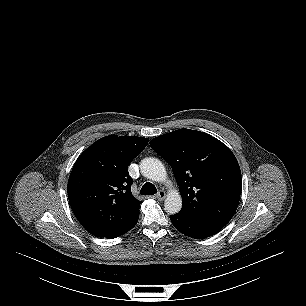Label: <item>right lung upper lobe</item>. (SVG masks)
<instances>
[{"label":"right lung upper lobe","mask_w":306,"mask_h":306,"mask_svg":"<svg viewBox=\"0 0 306 306\" xmlns=\"http://www.w3.org/2000/svg\"><path fill=\"white\" fill-rule=\"evenodd\" d=\"M147 144V138L111 135L78 157L68 180V198L90 234L116 238L137 221L141 202L131 193L128 165Z\"/></svg>","instance_id":"1"}]
</instances>
